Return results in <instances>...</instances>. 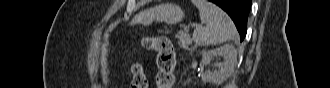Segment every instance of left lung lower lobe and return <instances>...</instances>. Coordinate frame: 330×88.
<instances>
[{"mask_svg": "<svg viewBox=\"0 0 330 88\" xmlns=\"http://www.w3.org/2000/svg\"><path fill=\"white\" fill-rule=\"evenodd\" d=\"M221 7L233 20L242 41L247 32L251 0H209Z\"/></svg>", "mask_w": 330, "mask_h": 88, "instance_id": "left-lung-lower-lobe-1", "label": "left lung lower lobe"}]
</instances>
